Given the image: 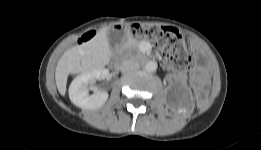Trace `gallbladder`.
Here are the masks:
<instances>
[{
	"label": "gallbladder",
	"mask_w": 261,
	"mask_h": 150,
	"mask_svg": "<svg viewBox=\"0 0 261 150\" xmlns=\"http://www.w3.org/2000/svg\"><path fill=\"white\" fill-rule=\"evenodd\" d=\"M122 32L111 29L107 31V38L109 42L110 49L113 51L118 44L122 42Z\"/></svg>",
	"instance_id": "bac80fb5"
}]
</instances>
